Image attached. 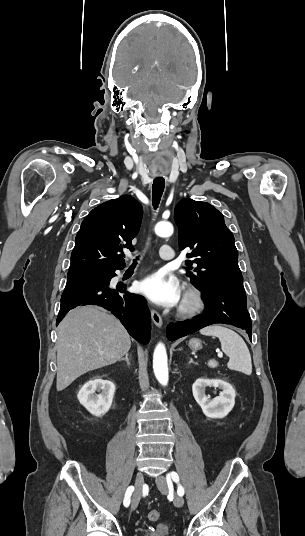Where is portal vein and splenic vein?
<instances>
[{
  "mask_svg": "<svg viewBox=\"0 0 305 536\" xmlns=\"http://www.w3.org/2000/svg\"><path fill=\"white\" fill-rule=\"evenodd\" d=\"M216 352H217V350H216ZM217 354H218V358H223L222 352H217Z\"/></svg>",
  "mask_w": 305,
  "mask_h": 536,
  "instance_id": "portal-vein-and-splenic-vein-1",
  "label": "portal vein and splenic vein"
}]
</instances>
